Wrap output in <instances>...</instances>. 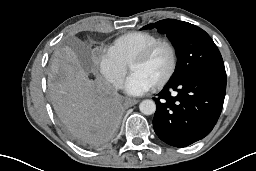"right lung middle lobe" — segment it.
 Returning a JSON list of instances; mask_svg holds the SVG:
<instances>
[{
	"mask_svg": "<svg viewBox=\"0 0 256 171\" xmlns=\"http://www.w3.org/2000/svg\"><path fill=\"white\" fill-rule=\"evenodd\" d=\"M69 97H71V89L63 91L59 88L54 87V89L52 90V98H53L54 104H56L60 101L67 100Z\"/></svg>",
	"mask_w": 256,
	"mask_h": 171,
	"instance_id": "1",
	"label": "right lung middle lobe"
}]
</instances>
